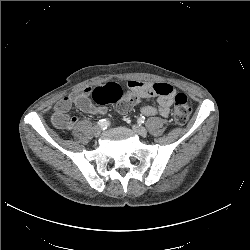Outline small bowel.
<instances>
[{
	"label": "small bowel",
	"instance_id": "c3829d8e",
	"mask_svg": "<svg viewBox=\"0 0 250 250\" xmlns=\"http://www.w3.org/2000/svg\"><path fill=\"white\" fill-rule=\"evenodd\" d=\"M128 87L131 91L136 92L142 97H157L158 106L145 105L141 108V112L145 116L161 115L167 117L170 113L171 105L175 98V89L168 83H146L136 80H130ZM92 90L87 87L77 91L69 96L61 98L54 107L52 115V123L58 129H73L78 119L69 116V111L73 106L79 110L89 114H104L106 108L92 103L90 94Z\"/></svg>",
	"mask_w": 250,
	"mask_h": 250
}]
</instances>
